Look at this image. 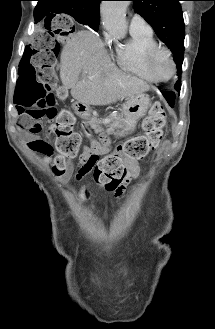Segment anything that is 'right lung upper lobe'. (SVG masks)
<instances>
[{"label": "right lung upper lobe", "mask_w": 215, "mask_h": 329, "mask_svg": "<svg viewBox=\"0 0 215 329\" xmlns=\"http://www.w3.org/2000/svg\"><path fill=\"white\" fill-rule=\"evenodd\" d=\"M34 11L35 21L52 18L58 13H65L69 9L80 13L87 21L99 22V4L102 0H37Z\"/></svg>", "instance_id": "right-lung-upper-lobe-1"}]
</instances>
